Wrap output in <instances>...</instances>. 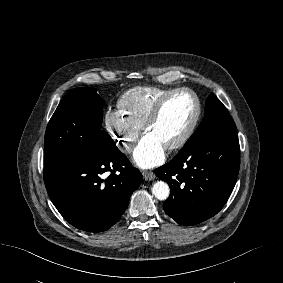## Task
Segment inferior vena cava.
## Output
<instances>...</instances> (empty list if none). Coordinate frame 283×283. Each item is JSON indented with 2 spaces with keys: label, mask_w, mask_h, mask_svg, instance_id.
Wrapping results in <instances>:
<instances>
[{
  "label": "inferior vena cava",
  "mask_w": 283,
  "mask_h": 283,
  "mask_svg": "<svg viewBox=\"0 0 283 283\" xmlns=\"http://www.w3.org/2000/svg\"><path fill=\"white\" fill-rule=\"evenodd\" d=\"M132 145L131 144H129V143H124L123 144V151H125V152H131L132 151Z\"/></svg>",
  "instance_id": "inferior-vena-cava-1"
}]
</instances>
